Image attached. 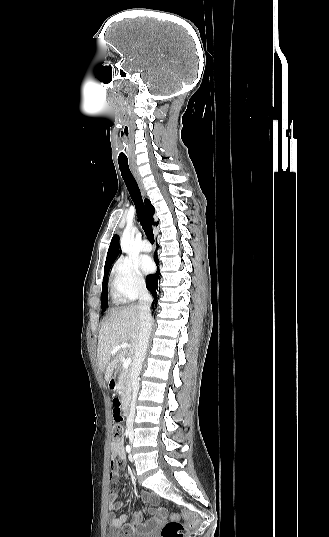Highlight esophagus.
Segmentation results:
<instances>
[{"label": "esophagus", "mask_w": 329, "mask_h": 537, "mask_svg": "<svg viewBox=\"0 0 329 537\" xmlns=\"http://www.w3.org/2000/svg\"><path fill=\"white\" fill-rule=\"evenodd\" d=\"M131 171H132V173H133V175H134V177H135V179H136V181L138 183V186H139V188L141 190L142 195L145 196L146 191H145V188H144L142 178H141V176L139 174V171L135 167H131Z\"/></svg>", "instance_id": "esophagus-1"}]
</instances>
